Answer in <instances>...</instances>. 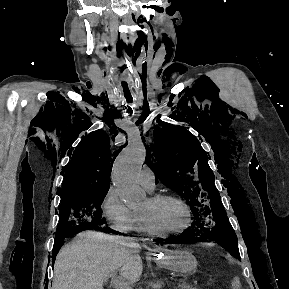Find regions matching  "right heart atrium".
<instances>
[{"instance_id":"d8ad5b80","label":"right heart atrium","mask_w":289,"mask_h":289,"mask_svg":"<svg viewBox=\"0 0 289 289\" xmlns=\"http://www.w3.org/2000/svg\"><path fill=\"white\" fill-rule=\"evenodd\" d=\"M101 212L111 229L120 233L135 230V213L125 205L114 188H110L104 196L101 202Z\"/></svg>"}]
</instances>
